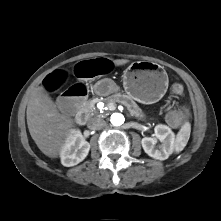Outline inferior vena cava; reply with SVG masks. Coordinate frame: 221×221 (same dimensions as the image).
Returning <instances> with one entry per match:
<instances>
[{"instance_id":"obj_1","label":"inferior vena cava","mask_w":221,"mask_h":221,"mask_svg":"<svg viewBox=\"0 0 221 221\" xmlns=\"http://www.w3.org/2000/svg\"><path fill=\"white\" fill-rule=\"evenodd\" d=\"M106 125L105 120L98 117H93L88 121V127L93 130H99Z\"/></svg>"}]
</instances>
